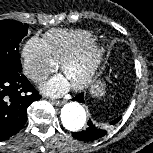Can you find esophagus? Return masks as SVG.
I'll use <instances>...</instances> for the list:
<instances>
[{
  "mask_svg": "<svg viewBox=\"0 0 153 153\" xmlns=\"http://www.w3.org/2000/svg\"><path fill=\"white\" fill-rule=\"evenodd\" d=\"M65 102L64 101H57V100H53L52 104L56 105V106H62Z\"/></svg>",
  "mask_w": 153,
  "mask_h": 153,
  "instance_id": "esophagus-1",
  "label": "esophagus"
}]
</instances>
